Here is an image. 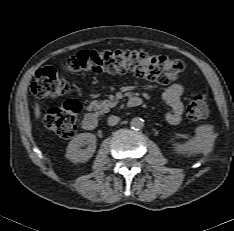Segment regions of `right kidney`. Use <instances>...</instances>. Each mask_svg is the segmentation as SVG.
Wrapping results in <instances>:
<instances>
[{"label":"right kidney","mask_w":234,"mask_h":231,"mask_svg":"<svg viewBox=\"0 0 234 231\" xmlns=\"http://www.w3.org/2000/svg\"><path fill=\"white\" fill-rule=\"evenodd\" d=\"M96 141V136L92 133L76 135L68 144L66 158L74 163L88 161L96 150ZM86 145V148H81Z\"/></svg>","instance_id":"right-kidney-1"}]
</instances>
